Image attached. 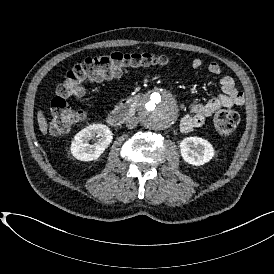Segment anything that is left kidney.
Wrapping results in <instances>:
<instances>
[{
  "label": "left kidney",
  "instance_id": "1",
  "mask_svg": "<svg viewBox=\"0 0 274 274\" xmlns=\"http://www.w3.org/2000/svg\"><path fill=\"white\" fill-rule=\"evenodd\" d=\"M181 156L185 162L200 166L209 162L214 156L213 146L200 137H187L180 142Z\"/></svg>",
  "mask_w": 274,
  "mask_h": 274
}]
</instances>
